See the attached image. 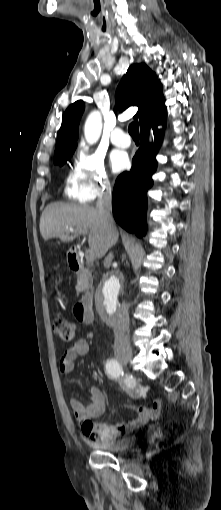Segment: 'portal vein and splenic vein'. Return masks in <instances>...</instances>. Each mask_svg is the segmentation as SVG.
I'll return each mask as SVG.
<instances>
[{"label": "portal vein and splenic vein", "instance_id": "obj_1", "mask_svg": "<svg viewBox=\"0 0 221 510\" xmlns=\"http://www.w3.org/2000/svg\"><path fill=\"white\" fill-rule=\"evenodd\" d=\"M70 231H73V229H72V228H70ZM79 234H83V235H84V234H85V231H80V233H79ZM85 258H86V261H88V262H93V261H94V259H95L94 251H93V250H91V249L86 250V252H85Z\"/></svg>", "mask_w": 221, "mask_h": 510}]
</instances>
